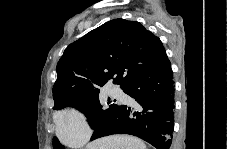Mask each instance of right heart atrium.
<instances>
[{
    "mask_svg": "<svg viewBox=\"0 0 227 149\" xmlns=\"http://www.w3.org/2000/svg\"><path fill=\"white\" fill-rule=\"evenodd\" d=\"M61 139L69 145L85 144L90 136V128L84 115L76 108L61 112L56 117Z\"/></svg>",
    "mask_w": 227,
    "mask_h": 149,
    "instance_id": "d8ad5b80",
    "label": "right heart atrium"
}]
</instances>
